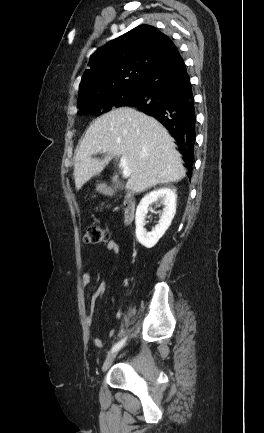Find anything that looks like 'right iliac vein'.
Here are the masks:
<instances>
[{"instance_id": "right-iliac-vein-1", "label": "right iliac vein", "mask_w": 264, "mask_h": 433, "mask_svg": "<svg viewBox=\"0 0 264 433\" xmlns=\"http://www.w3.org/2000/svg\"><path fill=\"white\" fill-rule=\"evenodd\" d=\"M117 351H115V352H112L111 354H109L108 356H107V358L105 359V361H104V363H103V366H102V372H105L111 365H112V363H113V361H114V359L116 358V356H117Z\"/></svg>"}]
</instances>
